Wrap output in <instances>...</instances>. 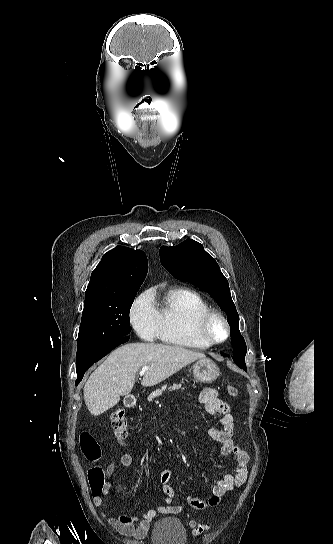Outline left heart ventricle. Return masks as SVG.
I'll list each match as a JSON object with an SVG mask.
<instances>
[{"instance_id":"left-heart-ventricle-1","label":"left heart ventricle","mask_w":333,"mask_h":544,"mask_svg":"<svg viewBox=\"0 0 333 544\" xmlns=\"http://www.w3.org/2000/svg\"><path fill=\"white\" fill-rule=\"evenodd\" d=\"M212 334L217 339H223L225 337V328L224 326L219 322L215 321L212 324Z\"/></svg>"}]
</instances>
